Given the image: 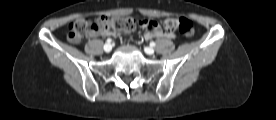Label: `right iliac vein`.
<instances>
[{
  "mask_svg": "<svg viewBox=\"0 0 276 120\" xmlns=\"http://www.w3.org/2000/svg\"><path fill=\"white\" fill-rule=\"evenodd\" d=\"M112 50V45L107 43L104 45V51L105 52H110Z\"/></svg>",
  "mask_w": 276,
  "mask_h": 120,
  "instance_id": "63e3f726",
  "label": "right iliac vein"
}]
</instances>
